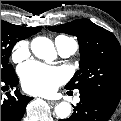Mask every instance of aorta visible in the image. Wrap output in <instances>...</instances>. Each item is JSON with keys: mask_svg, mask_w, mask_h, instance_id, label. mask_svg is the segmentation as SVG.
<instances>
[{"mask_svg": "<svg viewBox=\"0 0 121 121\" xmlns=\"http://www.w3.org/2000/svg\"><path fill=\"white\" fill-rule=\"evenodd\" d=\"M31 50L36 57L45 60H52L56 54L52 41L43 36L32 40ZM55 113L58 118L65 119L71 113V105L67 102H61L55 107Z\"/></svg>", "mask_w": 121, "mask_h": 121, "instance_id": "obj_1", "label": "aorta"}]
</instances>
